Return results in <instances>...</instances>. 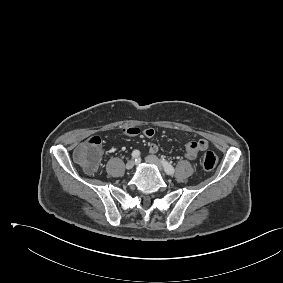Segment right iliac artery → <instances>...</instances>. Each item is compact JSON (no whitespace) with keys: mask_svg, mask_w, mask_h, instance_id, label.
<instances>
[{"mask_svg":"<svg viewBox=\"0 0 283 283\" xmlns=\"http://www.w3.org/2000/svg\"><path fill=\"white\" fill-rule=\"evenodd\" d=\"M139 157H140V152H139V150H134V151L132 152V158L135 159V160H137Z\"/></svg>","mask_w":283,"mask_h":283,"instance_id":"right-iliac-artery-1","label":"right iliac artery"}]
</instances>
